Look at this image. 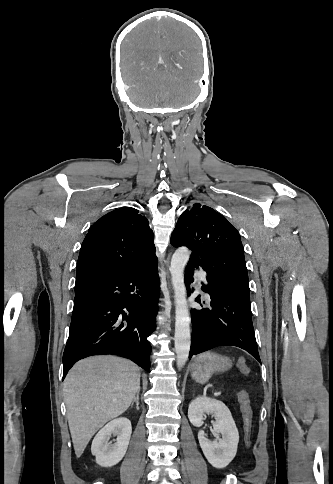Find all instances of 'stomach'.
<instances>
[{"instance_id": "obj_1", "label": "stomach", "mask_w": 333, "mask_h": 484, "mask_svg": "<svg viewBox=\"0 0 333 484\" xmlns=\"http://www.w3.org/2000/svg\"><path fill=\"white\" fill-rule=\"evenodd\" d=\"M231 366L232 362L229 357L204 352L194 358L191 364V376L196 382L204 384L214 373L227 371Z\"/></svg>"}]
</instances>
